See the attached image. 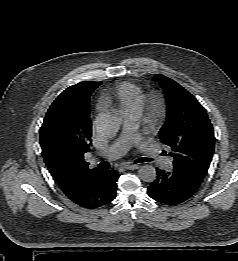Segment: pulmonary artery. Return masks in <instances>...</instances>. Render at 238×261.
Masks as SVG:
<instances>
[{
	"label": "pulmonary artery",
	"mask_w": 238,
	"mask_h": 261,
	"mask_svg": "<svg viewBox=\"0 0 238 261\" xmlns=\"http://www.w3.org/2000/svg\"><path fill=\"white\" fill-rule=\"evenodd\" d=\"M137 119L138 116L131 115L125 118L124 128L120 137L112 143L110 146L106 147L100 152V157L108 160H114L123 156L129 148L138 141V136L136 134L137 129ZM144 154L147 157L155 158L161 166L165 169L172 168V159L169 157H159L158 154L148 148L146 145H141Z\"/></svg>",
	"instance_id": "pulmonary-artery-1"
}]
</instances>
